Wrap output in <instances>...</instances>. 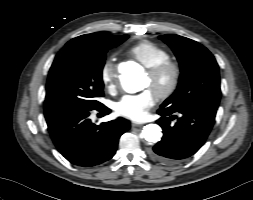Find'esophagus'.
<instances>
[{
	"instance_id": "1",
	"label": "esophagus",
	"mask_w": 253,
	"mask_h": 200,
	"mask_svg": "<svg viewBox=\"0 0 253 200\" xmlns=\"http://www.w3.org/2000/svg\"><path fill=\"white\" fill-rule=\"evenodd\" d=\"M141 126H142V124H140V123H135V122L132 123V127L133 128H135V127H141Z\"/></svg>"
}]
</instances>
